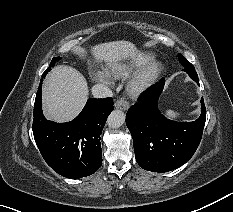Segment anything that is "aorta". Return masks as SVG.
Segmentation results:
<instances>
[{"mask_svg": "<svg viewBox=\"0 0 233 212\" xmlns=\"http://www.w3.org/2000/svg\"><path fill=\"white\" fill-rule=\"evenodd\" d=\"M125 122V114L121 110H114L107 119L110 128H119Z\"/></svg>", "mask_w": 233, "mask_h": 212, "instance_id": "1", "label": "aorta"}]
</instances>
